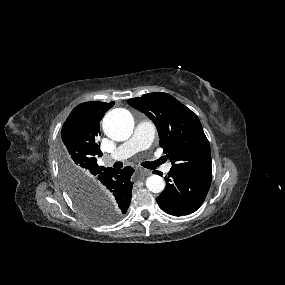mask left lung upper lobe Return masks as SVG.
I'll use <instances>...</instances> for the list:
<instances>
[{"label": "left lung upper lobe", "mask_w": 285, "mask_h": 285, "mask_svg": "<svg viewBox=\"0 0 285 285\" xmlns=\"http://www.w3.org/2000/svg\"><path fill=\"white\" fill-rule=\"evenodd\" d=\"M128 103L156 125L160 146L172 163L170 170L211 180L210 146L195 113L167 93L145 94Z\"/></svg>", "instance_id": "left-lung-upper-lobe-1"}]
</instances>
